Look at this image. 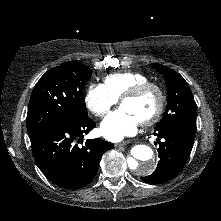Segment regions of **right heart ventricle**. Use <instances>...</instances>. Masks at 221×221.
Segmentation results:
<instances>
[{
    "mask_svg": "<svg viewBox=\"0 0 221 221\" xmlns=\"http://www.w3.org/2000/svg\"><path fill=\"white\" fill-rule=\"evenodd\" d=\"M149 77L143 73L124 71L109 74L104 78V86L117 99L135 86L148 82Z\"/></svg>",
    "mask_w": 221,
    "mask_h": 221,
    "instance_id": "obj_1",
    "label": "right heart ventricle"
}]
</instances>
